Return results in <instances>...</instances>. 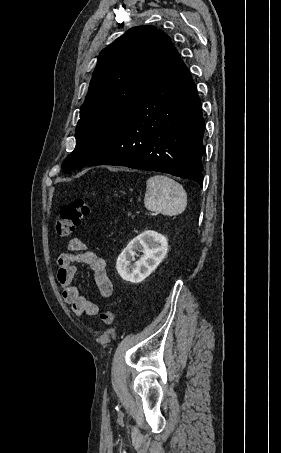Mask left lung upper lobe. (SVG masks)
I'll use <instances>...</instances> for the list:
<instances>
[{
    "label": "left lung upper lobe",
    "mask_w": 281,
    "mask_h": 453,
    "mask_svg": "<svg viewBox=\"0 0 281 453\" xmlns=\"http://www.w3.org/2000/svg\"><path fill=\"white\" fill-rule=\"evenodd\" d=\"M174 46L153 26H138L98 57L76 128V147L62 164L68 173L92 162L145 96Z\"/></svg>",
    "instance_id": "5c2ea615"
}]
</instances>
